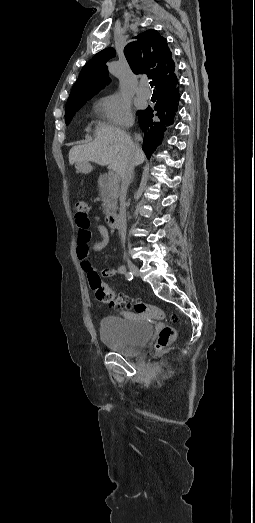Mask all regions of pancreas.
Here are the masks:
<instances>
[{"label":"pancreas","instance_id":"1","mask_svg":"<svg viewBox=\"0 0 255 523\" xmlns=\"http://www.w3.org/2000/svg\"><path fill=\"white\" fill-rule=\"evenodd\" d=\"M119 182L118 174H101L98 178L99 192L103 202V214H106V216H112L115 210H117Z\"/></svg>","mask_w":255,"mask_h":523}]
</instances>
